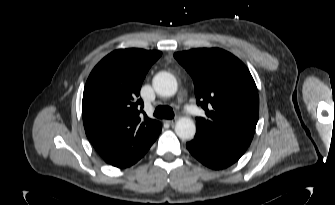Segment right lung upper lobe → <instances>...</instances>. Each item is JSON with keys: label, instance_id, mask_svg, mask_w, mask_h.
<instances>
[{"label": "right lung upper lobe", "instance_id": "1", "mask_svg": "<svg viewBox=\"0 0 335 205\" xmlns=\"http://www.w3.org/2000/svg\"><path fill=\"white\" fill-rule=\"evenodd\" d=\"M160 51L119 49L104 57L86 82L82 115L86 135L111 165L143 156L162 126L143 112L142 82ZM143 115H140V113Z\"/></svg>", "mask_w": 335, "mask_h": 205}]
</instances>
